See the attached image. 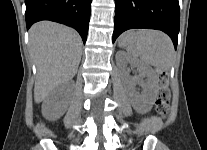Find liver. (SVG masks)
<instances>
[{
  "label": "liver",
  "instance_id": "obj_1",
  "mask_svg": "<svg viewBox=\"0 0 207 150\" xmlns=\"http://www.w3.org/2000/svg\"><path fill=\"white\" fill-rule=\"evenodd\" d=\"M29 37L30 52L37 69L34 101L40 103L77 73L82 40L75 30L49 21L34 24Z\"/></svg>",
  "mask_w": 207,
  "mask_h": 150
}]
</instances>
